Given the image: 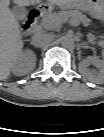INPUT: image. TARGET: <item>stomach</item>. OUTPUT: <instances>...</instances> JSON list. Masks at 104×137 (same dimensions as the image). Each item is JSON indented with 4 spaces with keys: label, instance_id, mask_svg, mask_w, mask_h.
<instances>
[{
    "label": "stomach",
    "instance_id": "0dacf381",
    "mask_svg": "<svg viewBox=\"0 0 104 137\" xmlns=\"http://www.w3.org/2000/svg\"><path fill=\"white\" fill-rule=\"evenodd\" d=\"M68 7H77L82 10H87L93 15H98L102 12L103 0H81L80 2L71 4Z\"/></svg>",
    "mask_w": 104,
    "mask_h": 137
}]
</instances>
